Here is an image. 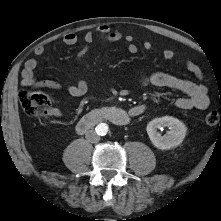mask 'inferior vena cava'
I'll use <instances>...</instances> for the list:
<instances>
[{
  "label": "inferior vena cava",
  "instance_id": "inferior-vena-cava-1",
  "mask_svg": "<svg viewBox=\"0 0 221 221\" xmlns=\"http://www.w3.org/2000/svg\"><path fill=\"white\" fill-rule=\"evenodd\" d=\"M86 139L91 143H97L100 140V136L94 130H89L86 132Z\"/></svg>",
  "mask_w": 221,
  "mask_h": 221
}]
</instances>
